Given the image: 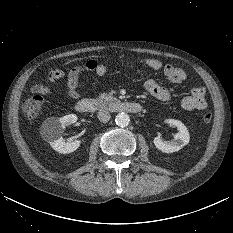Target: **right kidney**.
I'll list each match as a JSON object with an SVG mask.
<instances>
[{
    "mask_svg": "<svg viewBox=\"0 0 233 233\" xmlns=\"http://www.w3.org/2000/svg\"><path fill=\"white\" fill-rule=\"evenodd\" d=\"M77 116L75 114L65 115L61 118H48L42 124V134L51 147L59 153H71L79 148L84 140H74L65 142L62 138L63 129L75 123Z\"/></svg>",
    "mask_w": 233,
    "mask_h": 233,
    "instance_id": "1",
    "label": "right kidney"
}]
</instances>
